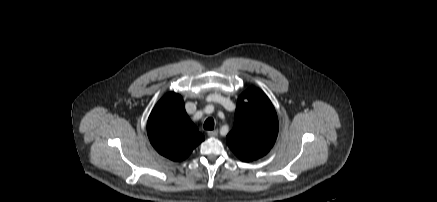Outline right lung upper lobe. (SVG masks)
<instances>
[{
	"instance_id": "1",
	"label": "right lung upper lobe",
	"mask_w": 437,
	"mask_h": 202,
	"mask_svg": "<svg viewBox=\"0 0 437 202\" xmlns=\"http://www.w3.org/2000/svg\"><path fill=\"white\" fill-rule=\"evenodd\" d=\"M147 133L157 152L173 161L186 159L204 140L188 117L182 97L174 92L155 105L148 118Z\"/></svg>"
}]
</instances>
